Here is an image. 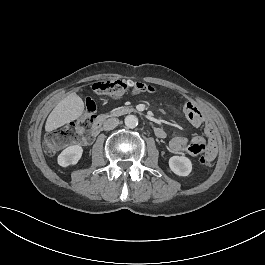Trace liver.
<instances>
[{
    "label": "liver",
    "mask_w": 265,
    "mask_h": 265,
    "mask_svg": "<svg viewBox=\"0 0 265 265\" xmlns=\"http://www.w3.org/2000/svg\"><path fill=\"white\" fill-rule=\"evenodd\" d=\"M84 112V101L73 92L63 98L48 115L45 131L52 132L79 118Z\"/></svg>",
    "instance_id": "liver-1"
}]
</instances>
